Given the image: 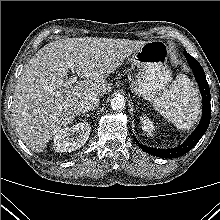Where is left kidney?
I'll return each instance as SVG.
<instances>
[{
	"instance_id": "1",
	"label": "left kidney",
	"mask_w": 220,
	"mask_h": 220,
	"mask_svg": "<svg viewBox=\"0 0 220 220\" xmlns=\"http://www.w3.org/2000/svg\"><path fill=\"white\" fill-rule=\"evenodd\" d=\"M142 130L146 132L148 135H152L153 133V123L146 117H141Z\"/></svg>"
}]
</instances>
